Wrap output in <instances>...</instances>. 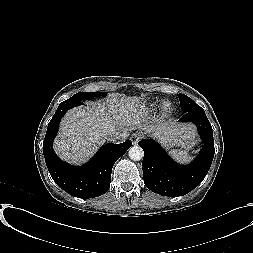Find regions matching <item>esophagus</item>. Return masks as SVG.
<instances>
[{"mask_svg":"<svg viewBox=\"0 0 253 253\" xmlns=\"http://www.w3.org/2000/svg\"><path fill=\"white\" fill-rule=\"evenodd\" d=\"M139 140H140V135L139 134L135 133L131 136V141H132L133 144H137Z\"/></svg>","mask_w":253,"mask_h":253,"instance_id":"1","label":"esophagus"}]
</instances>
